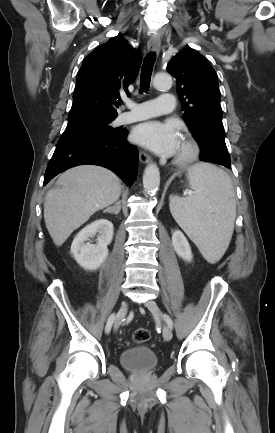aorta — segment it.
Instances as JSON below:
<instances>
[{
    "instance_id": "aorta-1",
    "label": "aorta",
    "mask_w": 275,
    "mask_h": 433,
    "mask_svg": "<svg viewBox=\"0 0 275 433\" xmlns=\"http://www.w3.org/2000/svg\"><path fill=\"white\" fill-rule=\"evenodd\" d=\"M153 85L156 89H169L172 86V78L168 74H156ZM143 186L147 194H153L159 189L160 172L156 164H150L145 168Z\"/></svg>"
}]
</instances>
